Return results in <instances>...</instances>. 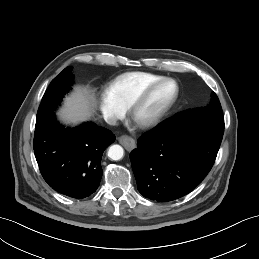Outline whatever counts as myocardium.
Here are the masks:
<instances>
[{
	"label": "myocardium",
	"mask_w": 259,
	"mask_h": 259,
	"mask_svg": "<svg viewBox=\"0 0 259 259\" xmlns=\"http://www.w3.org/2000/svg\"><path fill=\"white\" fill-rule=\"evenodd\" d=\"M165 83H173L175 85V93L173 97L160 109L158 110L151 118L144 121H137L136 114L139 108L148 100L150 95L156 90L158 87ZM180 95V86L177 80L164 77L160 80H157L147 87H145L129 104L128 106V114L131 120L141 129H149L156 125H158L162 119L168 114V112L173 108L176 104Z\"/></svg>",
	"instance_id": "myocardium-1"
}]
</instances>
